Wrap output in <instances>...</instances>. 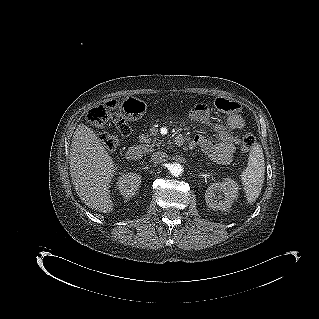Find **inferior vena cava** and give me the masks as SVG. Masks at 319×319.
I'll return each mask as SVG.
<instances>
[{
    "instance_id": "inferior-vena-cava-1",
    "label": "inferior vena cava",
    "mask_w": 319,
    "mask_h": 319,
    "mask_svg": "<svg viewBox=\"0 0 319 319\" xmlns=\"http://www.w3.org/2000/svg\"><path fill=\"white\" fill-rule=\"evenodd\" d=\"M151 160L155 164H160L168 160V155L164 152L157 151L152 154Z\"/></svg>"
}]
</instances>
